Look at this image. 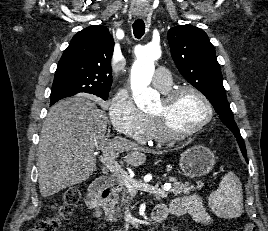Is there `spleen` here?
<instances>
[{"label":"spleen","mask_w":268,"mask_h":231,"mask_svg":"<svg viewBox=\"0 0 268 231\" xmlns=\"http://www.w3.org/2000/svg\"><path fill=\"white\" fill-rule=\"evenodd\" d=\"M211 210L221 218H237L243 213L242 185L239 178L228 172L208 199Z\"/></svg>","instance_id":"1"}]
</instances>
